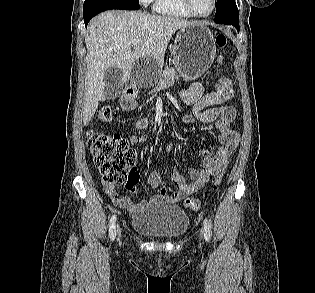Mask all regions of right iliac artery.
I'll return each instance as SVG.
<instances>
[{
    "label": "right iliac artery",
    "mask_w": 315,
    "mask_h": 293,
    "mask_svg": "<svg viewBox=\"0 0 315 293\" xmlns=\"http://www.w3.org/2000/svg\"><path fill=\"white\" fill-rule=\"evenodd\" d=\"M109 234H110V239L114 240L116 236V215H112L109 223Z\"/></svg>",
    "instance_id": "82829eb1"
}]
</instances>
